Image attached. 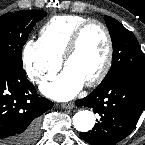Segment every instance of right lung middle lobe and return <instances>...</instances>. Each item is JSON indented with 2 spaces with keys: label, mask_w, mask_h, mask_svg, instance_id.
I'll return each instance as SVG.
<instances>
[{
  "label": "right lung middle lobe",
  "mask_w": 145,
  "mask_h": 145,
  "mask_svg": "<svg viewBox=\"0 0 145 145\" xmlns=\"http://www.w3.org/2000/svg\"><path fill=\"white\" fill-rule=\"evenodd\" d=\"M45 16V11L29 10L0 17V65H23L22 48L34 24Z\"/></svg>",
  "instance_id": "obj_1"
}]
</instances>
